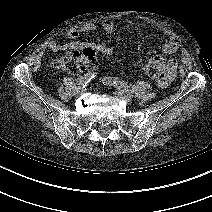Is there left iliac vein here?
I'll use <instances>...</instances> for the list:
<instances>
[{
	"mask_svg": "<svg viewBox=\"0 0 212 212\" xmlns=\"http://www.w3.org/2000/svg\"><path fill=\"white\" fill-rule=\"evenodd\" d=\"M113 95L116 98L125 100L128 103H131V101H132V95L131 94L123 93L122 91H114L113 92Z\"/></svg>",
	"mask_w": 212,
	"mask_h": 212,
	"instance_id": "left-iliac-vein-1",
	"label": "left iliac vein"
}]
</instances>
